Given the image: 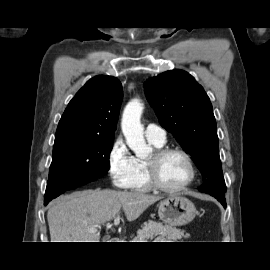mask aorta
<instances>
[{"label": "aorta", "instance_id": "obj_1", "mask_svg": "<svg viewBox=\"0 0 270 270\" xmlns=\"http://www.w3.org/2000/svg\"><path fill=\"white\" fill-rule=\"evenodd\" d=\"M143 109L140 100L133 99L126 105L121 121V128L127 145L136 157L141 159L146 158L151 152V148L144 139V128L141 124Z\"/></svg>", "mask_w": 270, "mask_h": 270}]
</instances>
